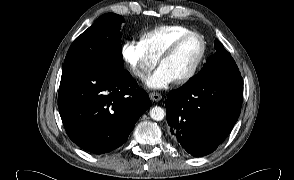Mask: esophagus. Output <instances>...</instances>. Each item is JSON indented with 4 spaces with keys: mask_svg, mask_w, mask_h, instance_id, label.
<instances>
[{
    "mask_svg": "<svg viewBox=\"0 0 294 180\" xmlns=\"http://www.w3.org/2000/svg\"><path fill=\"white\" fill-rule=\"evenodd\" d=\"M149 97L152 101L158 102L162 99V95L158 92H152L149 94Z\"/></svg>",
    "mask_w": 294,
    "mask_h": 180,
    "instance_id": "obj_1",
    "label": "esophagus"
}]
</instances>
